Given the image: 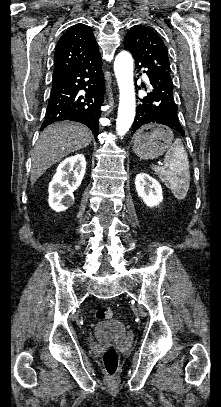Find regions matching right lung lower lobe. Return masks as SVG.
<instances>
[{
	"mask_svg": "<svg viewBox=\"0 0 221 407\" xmlns=\"http://www.w3.org/2000/svg\"><path fill=\"white\" fill-rule=\"evenodd\" d=\"M99 51L89 60L53 77L44 129L53 122L77 121L88 126L95 137L99 131L104 78Z\"/></svg>",
	"mask_w": 221,
	"mask_h": 407,
	"instance_id": "98d812e1",
	"label": "right lung lower lobe"
}]
</instances>
